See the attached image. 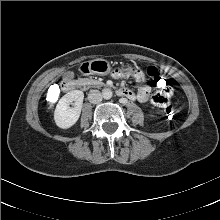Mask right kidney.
I'll use <instances>...</instances> for the list:
<instances>
[{
  "label": "right kidney",
  "instance_id": "1",
  "mask_svg": "<svg viewBox=\"0 0 220 220\" xmlns=\"http://www.w3.org/2000/svg\"><path fill=\"white\" fill-rule=\"evenodd\" d=\"M84 93L80 90H73L65 94L58 102L54 120L59 128L67 129L73 126L80 117ZM74 104V107H70Z\"/></svg>",
  "mask_w": 220,
  "mask_h": 220
}]
</instances>
